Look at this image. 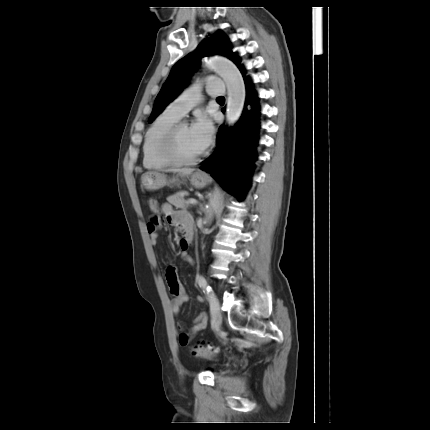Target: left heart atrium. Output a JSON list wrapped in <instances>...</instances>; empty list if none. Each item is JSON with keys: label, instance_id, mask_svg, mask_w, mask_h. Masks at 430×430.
<instances>
[{"label": "left heart atrium", "instance_id": "obj_1", "mask_svg": "<svg viewBox=\"0 0 430 430\" xmlns=\"http://www.w3.org/2000/svg\"><path fill=\"white\" fill-rule=\"evenodd\" d=\"M190 131L195 144L201 151L210 145L213 136V125L206 115H199L190 127Z\"/></svg>", "mask_w": 430, "mask_h": 430}]
</instances>
